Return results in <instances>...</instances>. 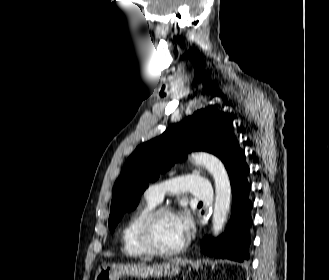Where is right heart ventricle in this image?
<instances>
[{
	"instance_id": "e07e8e85",
	"label": "right heart ventricle",
	"mask_w": 329,
	"mask_h": 280,
	"mask_svg": "<svg viewBox=\"0 0 329 280\" xmlns=\"http://www.w3.org/2000/svg\"><path fill=\"white\" fill-rule=\"evenodd\" d=\"M157 202L145 197L143 202L131 213L121 230L122 251L130 257L147 254L138 240V227L144 216L156 207Z\"/></svg>"
}]
</instances>
